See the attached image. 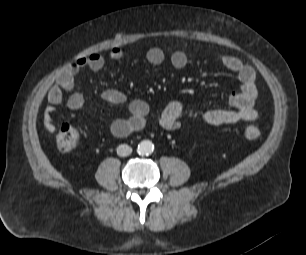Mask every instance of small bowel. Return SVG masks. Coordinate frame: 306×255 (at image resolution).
I'll return each instance as SVG.
<instances>
[{
	"label": "small bowel",
	"mask_w": 306,
	"mask_h": 255,
	"mask_svg": "<svg viewBox=\"0 0 306 255\" xmlns=\"http://www.w3.org/2000/svg\"><path fill=\"white\" fill-rule=\"evenodd\" d=\"M109 56L114 61H120L124 53L121 48L111 49ZM146 59L152 65H160L165 59V52L159 47H152L146 52ZM219 62L230 72L234 73L241 83L238 92L230 94L228 101L232 109H210L198 113L192 108H185L180 102L172 101L156 115L157 123L166 130L176 131L182 126V117L200 116L202 120L213 126L223 124H236L242 121H253L258 113L255 109V102L258 96L256 87V73L254 69L244 64L239 58L232 55H220ZM169 62L175 69H183L188 63V57L182 50H175L169 56ZM105 65V57L100 53H93L80 57L61 70L53 86L47 93L49 105L44 111V128L54 132L56 127L53 122L55 107L62 104L65 94L70 93L67 98V106L72 110H79L84 105V97L81 93L74 91L75 78L83 69L92 72H99ZM101 98L108 103L128 106L129 115L127 118L116 119L110 123V131L117 137H123L141 130L148 119L150 109L148 104L140 99L128 101L127 96L117 89H106L101 93Z\"/></svg>",
	"instance_id": "1"
}]
</instances>
